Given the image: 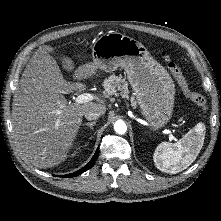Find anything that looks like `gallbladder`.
<instances>
[{
	"label": "gallbladder",
	"instance_id": "gallbladder-1",
	"mask_svg": "<svg viewBox=\"0 0 221 221\" xmlns=\"http://www.w3.org/2000/svg\"><path fill=\"white\" fill-rule=\"evenodd\" d=\"M33 66L37 75L45 79L49 85L58 86V90L63 93L69 92L71 87L63 80V75L51 56L45 54L36 55L33 59Z\"/></svg>",
	"mask_w": 221,
	"mask_h": 221
}]
</instances>
